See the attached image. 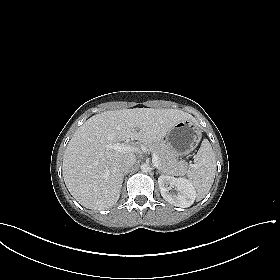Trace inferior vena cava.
<instances>
[{
    "instance_id": "obj_1",
    "label": "inferior vena cava",
    "mask_w": 280,
    "mask_h": 280,
    "mask_svg": "<svg viewBox=\"0 0 280 280\" xmlns=\"http://www.w3.org/2000/svg\"><path fill=\"white\" fill-rule=\"evenodd\" d=\"M136 163L135 155H126L121 161V169L127 172Z\"/></svg>"
}]
</instances>
